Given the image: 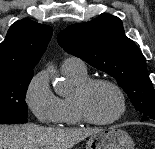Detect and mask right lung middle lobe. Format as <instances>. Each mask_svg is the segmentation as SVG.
I'll use <instances>...</instances> for the list:
<instances>
[{"mask_svg":"<svg viewBox=\"0 0 155 149\" xmlns=\"http://www.w3.org/2000/svg\"><path fill=\"white\" fill-rule=\"evenodd\" d=\"M33 72L0 77V124L27 122L26 91Z\"/></svg>","mask_w":155,"mask_h":149,"instance_id":"dd1d6c3e","label":"right lung middle lobe"}]
</instances>
